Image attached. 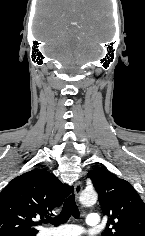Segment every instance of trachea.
I'll use <instances>...</instances> for the list:
<instances>
[{
	"label": "trachea",
	"mask_w": 145,
	"mask_h": 236,
	"mask_svg": "<svg viewBox=\"0 0 145 236\" xmlns=\"http://www.w3.org/2000/svg\"><path fill=\"white\" fill-rule=\"evenodd\" d=\"M73 216L74 218H79V210L75 202L74 195L69 196L64 204L61 213L54 217V218H48L45 220V223H51L54 226H58L60 224H63L67 222L70 216Z\"/></svg>",
	"instance_id": "1"
}]
</instances>
